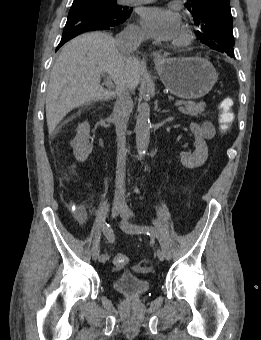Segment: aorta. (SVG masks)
Instances as JSON below:
<instances>
[{"label":"aorta","instance_id":"1","mask_svg":"<svg viewBox=\"0 0 261 340\" xmlns=\"http://www.w3.org/2000/svg\"><path fill=\"white\" fill-rule=\"evenodd\" d=\"M136 118V147L138 153V159L142 160L146 154V151L150 142V106L146 97L144 101L138 104Z\"/></svg>","mask_w":261,"mask_h":340}]
</instances>
